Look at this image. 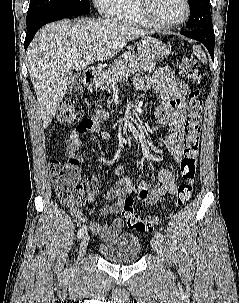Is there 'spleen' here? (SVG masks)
<instances>
[{
	"label": "spleen",
	"mask_w": 239,
	"mask_h": 303,
	"mask_svg": "<svg viewBox=\"0 0 239 303\" xmlns=\"http://www.w3.org/2000/svg\"><path fill=\"white\" fill-rule=\"evenodd\" d=\"M193 52L202 63H207V57L199 46H193Z\"/></svg>",
	"instance_id": "obj_1"
}]
</instances>
